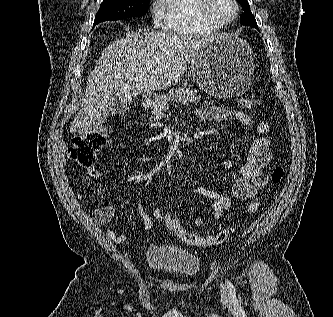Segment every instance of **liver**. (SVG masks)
Returning a JSON list of instances; mask_svg holds the SVG:
<instances>
[{
    "instance_id": "liver-1",
    "label": "liver",
    "mask_w": 333,
    "mask_h": 317,
    "mask_svg": "<svg viewBox=\"0 0 333 317\" xmlns=\"http://www.w3.org/2000/svg\"><path fill=\"white\" fill-rule=\"evenodd\" d=\"M212 37L165 31L140 35L139 31L111 42L87 78L83 102L70 132L81 136L95 132L108 117L110 98H132L176 85L198 50Z\"/></svg>"
}]
</instances>
